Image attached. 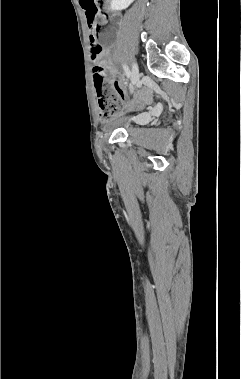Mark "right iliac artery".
Listing matches in <instances>:
<instances>
[{
	"instance_id": "obj_1",
	"label": "right iliac artery",
	"mask_w": 241,
	"mask_h": 379,
	"mask_svg": "<svg viewBox=\"0 0 241 379\" xmlns=\"http://www.w3.org/2000/svg\"><path fill=\"white\" fill-rule=\"evenodd\" d=\"M123 69H124V72H125L126 76H127L128 78H130V76H131V71H130V69L128 68V66L125 65V64H123Z\"/></svg>"
}]
</instances>
